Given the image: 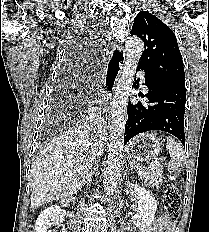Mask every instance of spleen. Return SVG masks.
I'll use <instances>...</instances> for the list:
<instances>
[{"mask_svg":"<svg viewBox=\"0 0 209 232\" xmlns=\"http://www.w3.org/2000/svg\"><path fill=\"white\" fill-rule=\"evenodd\" d=\"M166 149L169 151L171 156L168 170L170 174L174 173L173 176H170V178L175 179L177 177L178 168L182 167L186 163L185 153L182 146L172 137H167Z\"/></svg>","mask_w":209,"mask_h":232,"instance_id":"obj_1","label":"spleen"}]
</instances>
